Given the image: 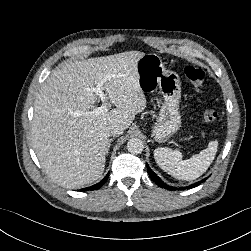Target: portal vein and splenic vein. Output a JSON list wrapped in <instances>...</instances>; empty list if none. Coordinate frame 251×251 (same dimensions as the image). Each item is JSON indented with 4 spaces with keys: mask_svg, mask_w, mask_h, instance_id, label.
<instances>
[{
    "mask_svg": "<svg viewBox=\"0 0 251 251\" xmlns=\"http://www.w3.org/2000/svg\"><path fill=\"white\" fill-rule=\"evenodd\" d=\"M92 91L95 92V94L101 99L102 104L100 107L95 108L93 111L91 112H77L76 115H88V114H93L95 116H100L105 114L108 109H109V104H108V97L106 96V94L103 92L102 90V84H98L97 86L92 88Z\"/></svg>",
    "mask_w": 251,
    "mask_h": 251,
    "instance_id": "obj_1",
    "label": "portal vein and splenic vein"
}]
</instances>
